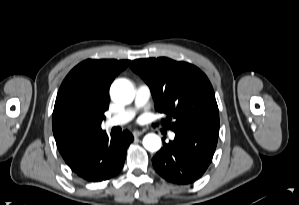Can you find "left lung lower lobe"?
<instances>
[{
    "mask_svg": "<svg viewBox=\"0 0 299 205\" xmlns=\"http://www.w3.org/2000/svg\"><path fill=\"white\" fill-rule=\"evenodd\" d=\"M176 136L152 159L161 177L175 184H189L200 178L212 161L219 127H193L174 130Z\"/></svg>",
    "mask_w": 299,
    "mask_h": 205,
    "instance_id": "1",
    "label": "left lung lower lobe"
}]
</instances>
